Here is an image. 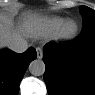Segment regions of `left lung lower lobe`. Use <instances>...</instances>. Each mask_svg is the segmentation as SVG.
I'll use <instances>...</instances> for the list:
<instances>
[{
	"mask_svg": "<svg viewBox=\"0 0 95 95\" xmlns=\"http://www.w3.org/2000/svg\"><path fill=\"white\" fill-rule=\"evenodd\" d=\"M43 51L50 95H95V30L65 45L47 44Z\"/></svg>",
	"mask_w": 95,
	"mask_h": 95,
	"instance_id": "left-lung-lower-lobe-1",
	"label": "left lung lower lobe"
}]
</instances>
